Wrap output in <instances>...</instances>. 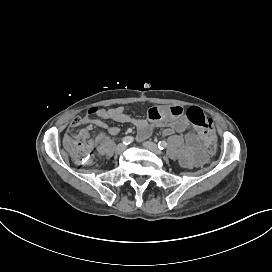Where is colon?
I'll list each match as a JSON object with an SVG mask.
<instances>
[{
  "instance_id": "colon-1",
  "label": "colon",
  "mask_w": 272,
  "mask_h": 272,
  "mask_svg": "<svg viewBox=\"0 0 272 272\" xmlns=\"http://www.w3.org/2000/svg\"><path fill=\"white\" fill-rule=\"evenodd\" d=\"M187 118L192 126L199 129L203 141L209 150H214L217 146L216 128L214 122L207 111L195 105H190L187 108ZM90 135L85 133L82 135V140H75L71 144V153L79 163H87L90 158L88 145L90 144Z\"/></svg>"
}]
</instances>
